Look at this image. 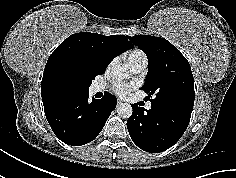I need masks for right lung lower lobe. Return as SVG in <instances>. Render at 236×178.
<instances>
[{
  "label": "right lung lower lobe",
  "mask_w": 236,
  "mask_h": 178,
  "mask_svg": "<svg viewBox=\"0 0 236 178\" xmlns=\"http://www.w3.org/2000/svg\"><path fill=\"white\" fill-rule=\"evenodd\" d=\"M88 99L89 91L43 102L47 121L62 142L80 146L93 141L116 107V98L110 93L102 99Z\"/></svg>",
  "instance_id": "right-lung-lower-lobe-1"
}]
</instances>
